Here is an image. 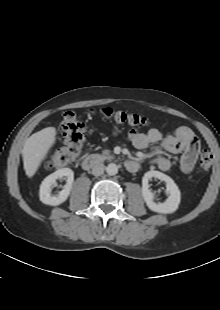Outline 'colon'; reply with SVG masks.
Here are the masks:
<instances>
[{"label":"colon","instance_id":"1","mask_svg":"<svg viewBox=\"0 0 220 310\" xmlns=\"http://www.w3.org/2000/svg\"><path fill=\"white\" fill-rule=\"evenodd\" d=\"M103 114L119 123H128L132 126H146L148 119L139 113L115 111L105 108ZM63 131L62 146L54 150L48 157L47 166L49 168H59L72 164L79 157L85 140V125L72 111L64 113L61 121ZM213 156L208 150L200 153L199 166L203 171L210 169Z\"/></svg>","mask_w":220,"mask_h":310}]
</instances>
